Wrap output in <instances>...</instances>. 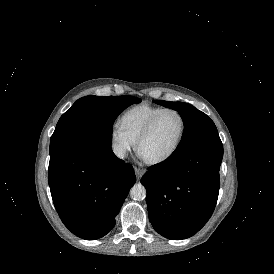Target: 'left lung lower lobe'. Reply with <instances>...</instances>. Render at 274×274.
<instances>
[{
	"label": "left lung lower lobe",
	"mask_w": 274,
	"mask_h": 274,
	"mask_svg": "<svg viewBox=\"0 0 274 274\" xmlns=\"http://www.w3.org/2000/svg\"><path fill=\"white\" fill-rule=\"evenodd\" d=\"M221 142L206 143L151 166L141 183L153 228L180 240L197 233L209 220L219 193Z\"/></svg>",
	"instance_id": "1"
}]
</instances>
